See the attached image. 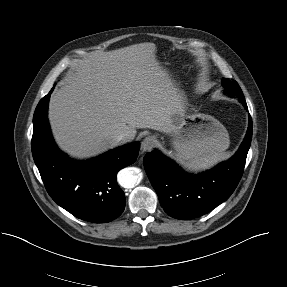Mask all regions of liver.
Listing matches in <instances>:
<instances>
[{"label": "liver", "instance_id": "6515ba94", "mask_svg": "<svg viewBox=\"0 0 287 287\" xmlns=\"http://www.w3.org/2000/svg\"><path fill=\"white\" fill-rule=\"evenodd\" d=\"M154 43L76 60L53 92L48 117L59 147L83 159L134 139L137 128L170 134L185 113V94L159 64Z\"/></svg>", "mask_w": 287, "mask_h": 287}]
</instances>
